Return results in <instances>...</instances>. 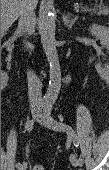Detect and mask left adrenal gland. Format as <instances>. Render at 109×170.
I'll list each match as a JSON object with an SVG mask.
<instances>
[{
	"label": "left adrenal gland",
	"instance_id": "a2214340",
	"mask_svg": "<svg viewBox=\"0 0 109 170\" xmlns=\"http://www.w3.org/2000/svg\"><path fill=\"white\" fill-rule=\"evenodd\" d=\"M78 19L77 16H75L74 18L70 19L69 15H63V21L66 27H68L69 29H71L74 25V23L76 22V20Z\"/></svg>",
	"mask_w": 109,
	"mask_h": 170
}]
</instances>
